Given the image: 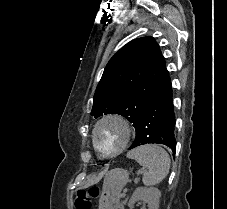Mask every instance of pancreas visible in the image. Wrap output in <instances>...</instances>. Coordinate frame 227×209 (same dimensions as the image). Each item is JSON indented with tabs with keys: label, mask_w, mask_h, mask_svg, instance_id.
<instances>
[{
	"label": "pancreas",
	"mask_w": 227,
	"mask_h": 209,
	"mask_svg": "<svg viewBox=\"0 0 227 209\" xmlns=\"http://www.w3.org/2000/svg\"><path fill=\"white\" fill-rule=\"evenodd\" d=\"M122 202H123L124 204H127V203H128V200H127V199H124ZM123 203L119 205L120 207H119L118 209H126V208L124 207L125 205H124Z\"/></svg>",
	"instance_id": "pancreas-1"
}]
</instances>
